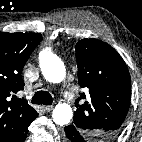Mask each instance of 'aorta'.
I'll use <instances>...</instances> for the list:
<instances>
[{"label": "aorta", "instance_id": "762f6f07", "mask_svg": "<svg viewBox=\"0 0 142 142\" xmlns=\"http://www.w3.org/2000/svg\"><path fill=\"white\" fill-rule=\"evenodd\" d=\"M39 65L44 78L51 83H60L65 78L66 69L62 60L48 50L39 54ZM73 111L70 105L60 103L55 106L52 117L55 124L64 126L72 119Z\"/></svg>", "mask_w": 142, "mask_h": 142}]
</instances>
